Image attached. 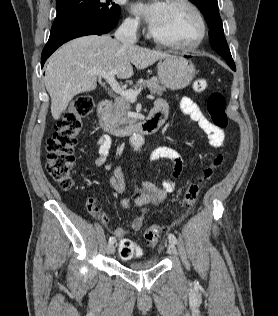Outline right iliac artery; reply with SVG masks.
Segmentation results:
<instances>
[{
  "mask_svg": "<svg viewBox=\"0 0 278 316\" xmlns=\"http://www.w3.org/2000/svg\"><path fill=\"white\" fill-rule=\"evenodd\" d=\"M115 238L114 237H110L109 238V244H114L115 243Z\"/></svg>",
  "mask_w": 278,
  "mask_h": 316,
  "instance_id": "82829eb1",
  "label": "right iliac artery"
}]
</instances>
